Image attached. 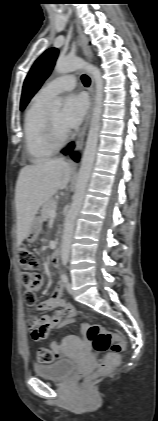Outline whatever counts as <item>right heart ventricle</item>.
Masks as SVG:
<instances>
[{
	"mask_svg": "<svg viewBox=\"0 0 158 421\" xmlns=\"http://www.w3.org/2000/svg\"><path fill=\"white\" fill-rule=\"evenodd\" d=\"M49 99L39 93L32 99L24 119L25 149L34 163H40L52 156L56 148L47 140L45 131L46 104Z\"/></svg>",
	"mask_w": 158,
	"mask_h": 421,
	"instance_id": "e07e8e85",
	"label": "right heart ventricle"
}]
</instances>
